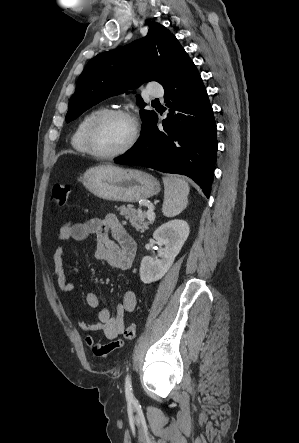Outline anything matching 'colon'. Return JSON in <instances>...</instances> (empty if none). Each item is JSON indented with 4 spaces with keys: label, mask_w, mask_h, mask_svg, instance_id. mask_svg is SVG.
Segmentation results:
<instances>
[{
    "label": "colon",
    "mask_w": 299,
    "mask_h": 443,
    "mask_svg": "<svg viewBox=\"0 0 299 443\" xmlns=\"http://www.w3.org/2000/svg\"><path fill=\"white\" fill-rule=\"evenodd\" d=\"M69 193H70L69 184L65 182H58L52 188L50 200L51 202H53L58 206H64L67 203ZM136 334H137V326L135 323L129 324L124 331V337L127 340L135 339Z\"/></svg>",
    "instance_id": "colon-1"
}]
</instances>
